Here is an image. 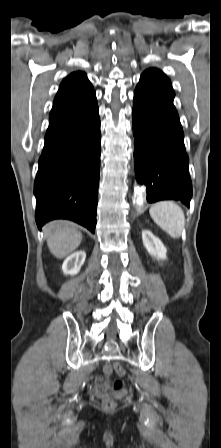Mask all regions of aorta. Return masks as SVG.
Returning a JSON list of instances; mask_svg holds the SVG:
<instances>
[{
	"label": "aorta",
	"instance_id": "obj_1",
	"mask_svg": "<svg viewBox=\"0 0 221 448\" xmlns=\"http://www.w3.org/2000/svg\"><path fill=\"white\" fill-rule=\"evenodd\" d=\"M143 201H144V198L142 197V195H140V196L137 197V203H138V204H142Z\"/></svg>",
	"mask_w": 221,
	"mask_h": 448
}]
</instances>
